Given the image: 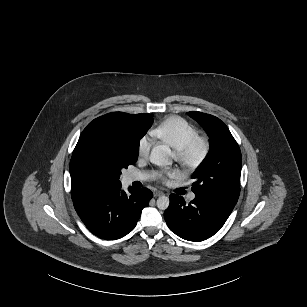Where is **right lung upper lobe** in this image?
Wrapping results in <instances>:
<instances>
[{"mask_svg":"<svg viewBox=\"0 0 307 307\" xmlns=\"http://www.w3.org/2000/svg\"><path fill=\"white\" fill-rule=\"evenodd\" d=\"M102 117L112 118V128L121 136L126 143H139V140L145 135L153 123L151 114H127L122 112H113ZM94 121L91 122L82 132L77 146L90 132ZM71 175V196L75 201L86 196L94 190L108 186L117 185L121 182H115L113 179L103 178L98 175L87 163H85L77 153L73 151L70 162Z\"/></svg>","mask_w":307,"mask_h":307,"instance_id":"cb5924a9","label":"right lung upper lobe"}]
</instances>
